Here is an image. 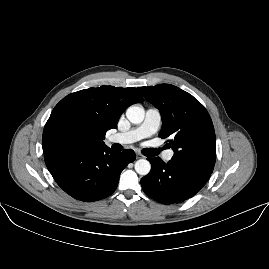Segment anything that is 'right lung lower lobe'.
<instances>
[{"label":"right lung lower lobe","mask_w":269,"mask_h":269,"mask_svg":"<svg viewBox=\"0 0 269 269\" xmlns=\"http://www.w3.org/2000/svg\"><path fill=\"white\" fill-rule=\"evenodd\" d=\"M48 170L57 184L81 201H97L117 188L122 170L135 160L133 150L122 153L104 145L83 143L44 153Z\"/></svg>","instance_id":"1"}]
</instances>
